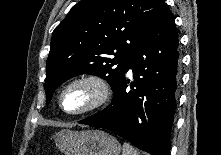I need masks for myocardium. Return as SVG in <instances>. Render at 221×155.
Returning <instances> with one entry per match:
<instances>
[{"label":"myocardium","instance_id":"1","mask_svg":"<svg viewBox=\"0 0 221 155\" xmlns=\"http://www.w3.org/2000/svg\"><path fill=\"white\" fill-rule=\"evenodd\" d=\"M77 86L89 88L92 92V99L85 107L77 111H69L63 105V98L67 91ZM110 96L111 88L105 78L97 74H84L71 79L62 87L58 95V104L64 113L71 116H80L100 109L109 101Z\"/></svg>","mask_w":221,"mask_h":155}]
</instances>
